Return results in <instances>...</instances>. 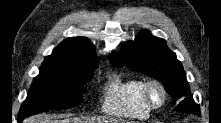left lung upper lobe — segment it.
<instances>
[{"mask_svg":"<svg viewBox=\"0 0 221 123\" xmlns=\"http://www.w3.org/2000/svg\"><path fill=\"white\" fill-rule=\"evenodd\" d=\"M109 59L116 67L127 66L161 81L172 98L180 100L177 111L199 114L183 66L164 39L152 36L147 30L142 31L134 41L127 42L121 52L110 54Z\"/></svg>","mask_w":221,"mask_h":123,"instance_id":"left-lung-upper-lobe-1","label":"left lung upper lobe"}]
</instances>
